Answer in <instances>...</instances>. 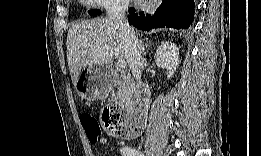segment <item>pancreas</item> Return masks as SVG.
Here are the masks:
<instances>
[{
  "mask_svg": "<svg viewBox=\"0 0 261 156\" xmlns=\"http://www.w3.org/2000/svg\"><path fill=\"white\" fill-rule=\"evenodd\" d=\"M116 83L119 84L118 93L116 99L125 105H130L133 101V92L131 91L130 83L128 80L115 79Z\"/></svg>",
  "mask_w": 261,
  "mask_h": 156,
  "instance_id": "obj_1",
  "label": "pancreas"
}]
</instances>
